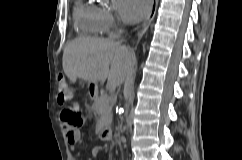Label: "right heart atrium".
Masks as SVG:
<instances>
[{
  "label": "right heart atrium",
  "instance_id": "d8ad5b80",
  "mask_svg": "<svg viewBox=\"0 0 242 160\" xmlns=\"http://www.w3.org/2000/svg\"><path fill=\"white\" fill-rule=\"evenodd\" d=\"M100 19L103 32L109 33L116 26V20L111 11L107 9H100Z\"/></svg>",
  "mask_w": 242,
  "mask_h": 160
}]
</instances>
